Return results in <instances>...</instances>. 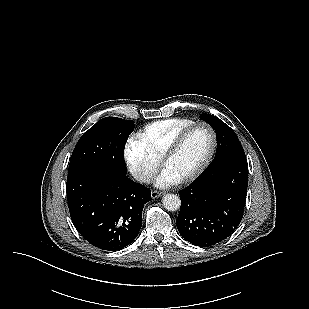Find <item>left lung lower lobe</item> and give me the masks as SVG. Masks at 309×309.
Instances as JSON below:
<instances>
[{
	"label": "left lung lower lobe",
	"instance_id": "0a47b994",
	"mask_svg": "<svg viewBox=\"0 0 309 309\" xmlns=\"http://www.w3.org/2000/svg\"><path fill=\"white\" fill-rule=\"evenodd\" d=\"M248 186L244 152L211 163L187 188L179 191L176 220L181 236L200 247L229 237L240 224Z\"/></svg>",
	"mask_w": 309,
	"mask_h": 309
}]
</instances>
